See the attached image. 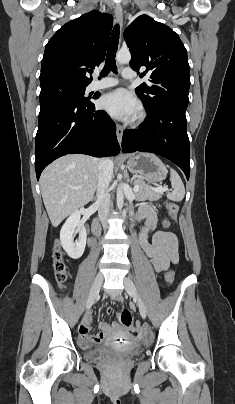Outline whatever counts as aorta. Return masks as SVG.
Returning <instances> with one entry per match:
<instances>
[{
  "mask_svg": "<svg viewBox=\"0 0 235 404\" xmlns=\"http://www.w3.org/2000/svg\"><path fill=\"white\" fill-rule=\"evenodd\" d=\"M116 60L120 64L129 63L131 60V54H130L129 50L121 49L120 51H118V53L116 55ZM117 206H118L119 210H121L123 207V191H122L121 186H119L117 189Z\"/></svg>",
  "mask_w": 235,
  "mask_h": 404,
  "instance_id": "762f6f07",
  "label": "aorta"
}]
</instances>
